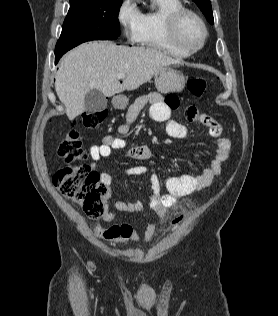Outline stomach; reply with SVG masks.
<instances>
[{
  "instance_id": "1",
  "label": "stomach",
  "mask_w": 278,
  "mask_h": 316,
  "mask_svg": "<svg viewBox=\"0 0 278 316\" xmlns=\"http://www.w3.org/2000/svg\"><path fill=\"white\" fill-rule=\"evenodd\" d=\"M155 86L160 93L180 92L185 86V77L180 71L163 67L155 74ZM112 104L117 109H125L128 105V98L124 95L114 96Z\"/></svg>"
}]
</instances>
